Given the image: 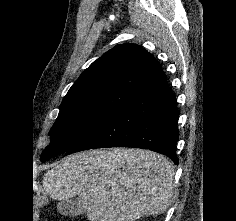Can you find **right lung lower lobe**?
Masks as SVG:
<instances>
[{"mask_svg":"<svg viewBox=\"0 0 236 221\" xmlns=\"http://www.w3.org/2000/svg\"><path fill=\"white\" fill-rule=\"evenodd\" d=\"M178 117L175 96L164 76L136 92L66 154L93 148L132 147L164 154L178 164Z\"/></svg>","mask_w":236,"mask_h":221,"instance_id":"obj_1","label":"right lung lower lobe"}]
</instances>
